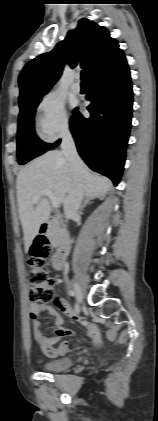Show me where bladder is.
Masks as SVG:
<instances>
[{
  "label": "bladder",
  "mask_w": 158,
  "mask_h": 421,
  "mask_svg": "<svg viewBox=\"0 0 158 421\" xmlns=\"http://www.w3.org/2000/svg\"><path fill=\"white\" fill-rule=\"evenodd\" d=\"M73 362L70 358L63 357L43 362L42 367L46 371L60 372L72 366Z\"/></svg>",
  "instance_id": "obj_1"
}]
</instances>
